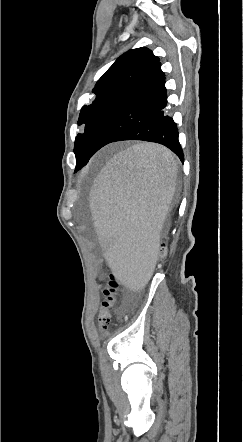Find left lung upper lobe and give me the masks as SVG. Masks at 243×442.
Instances as JSON below:
<instances>
[{
    "label": "left lung upper lobe",
    "instance_id": "left-lung-upper-lobe-1",
    "mask_svg": "<svg viewBox=\"0 0 243 442\" xmlns=\"http://www.w3.org/2000/svg\"><path fill=\"white\" fill-rule=\"evenodd\" d=\"M158 64L159 58L141 47L124 53L102 75L92 90L95 99L80 112L78 125H84L85 130L75 139V171L85 165L84 155L105 118Z\"/></svg>",
    "mask_w": 243,
    "mask_h": 442
}]
</instances>
